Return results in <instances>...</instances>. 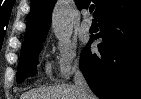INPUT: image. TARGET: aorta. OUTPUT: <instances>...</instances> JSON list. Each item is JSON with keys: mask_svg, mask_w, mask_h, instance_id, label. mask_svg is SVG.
<instances>
[{"mask_svg": "<svg viewBox=\"0 0 141 99\" xmlns=\"http://www.w3.org/2000/svg\"><path fill=\"white\" fill-rule=\"evenodd\" d=\"M52 29L58 40H69L72 35L71 9L65 2L59 1L54 7Z\"/></svg>", "mask_w": 141, "mask_h": 99, "instance_id": "762f6f07", "label": "aorta"}]
</instances>
